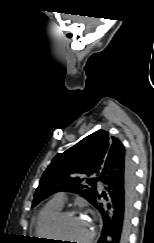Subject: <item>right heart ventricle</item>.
Returning a JSON list of instances; mask_svg holds the SVG:
<instances>
[{
  "instance_id": "right-heart-ventricle-1",
  "label": "right heart ventricle",
  "mask_w": 154,
  "mask_h": 243,
  "mask_svg": "<svg viewBox=\"0 0 154 243\" xmlns=\"http://www.w3.org/2000/svg\"><path fill=\"white\" fill-rule=\"evenodd\" d=\"M63 205L54 201L48 202L40 211L35 224V233L42 239H52L50 224L53 218L62 210Z\"/></svg>"
}]
</instances>
